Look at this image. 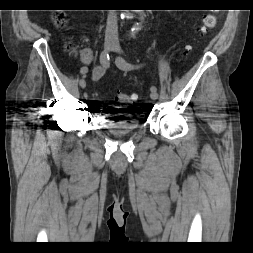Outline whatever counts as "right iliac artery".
Segmentation results:
<instances>
[{"label": "right iliac artery", "mask_w": 253, "mask_h": 253, "mask_svg": "<svg viewBox=\"0 0 253 253\" xmlns=\"http://www.w3.org/2000/svg\"><path fill=\"white\" fill-rule=\"evenodd\" d=\"M109 60H110V57H109V53L108 51H103L100 55V63L102 66L104 67H108L109 66ZM80 74L81 75H87L88 74V68L87 67H81L80 68Z\"/></svg>", "instance_id": "right-iliac-artery-1"}]
</instances>
